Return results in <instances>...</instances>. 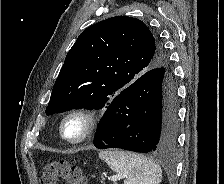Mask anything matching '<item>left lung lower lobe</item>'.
<instances>
[{
  "mask_svg": "<svg viewBox=\"0 0 224 184\" xmlns=\"http://www.w3.org/2000/svg\"><path fill=\"white\" fill-rule=\"evenodd\" d=\"M169 71L153 68L113 98L98 124L96 148L166 153L175 147L177 94Z\"/></svg>",
  "mask_w": 224,
  "mask_h": 184,
  "instance_id": "left-lung-lower-lobe-1",
  "label": "left lung lower lobe"
}]
</instances>
